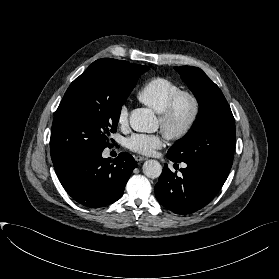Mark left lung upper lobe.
Here are the masks:
<instances>
[{
	"label": "left lung upper lobe",
	"mask_w": 279,
	"mask_h": 279,
	"mask_svg": "<svg viewBox=\"0 0 279 279\" xmlns=\"http://www.w3.org/2000/svg\"><path fill=\"white\" fill-rule=\"evenodd\" d=\"M175 70L195 95L199 114L192 129L169 149L167 156L187 165L206 166L227 177L235 149V120L230 106L203 70L191 66Z\"/></svg>",
	"instance_id": "obj_1"
}]
</instances>
